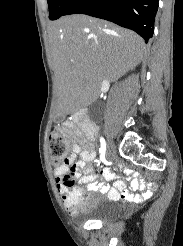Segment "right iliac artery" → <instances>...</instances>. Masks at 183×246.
<instances>
[{"label": "right iliac artery", "instance_id": "1", "mask_svg": "<svg viewBox=\"0 0 183 246\" xmlns=\"http://www.w3.org/2000/svg\"><path fill=\"white\" fill-rule=\"evenodd\" d=\"M100 144V160L105 161L106 142L103 137L100 138Z\"/></svg>", "mask_w": 183, "mask_h": 246}]
</instances>
